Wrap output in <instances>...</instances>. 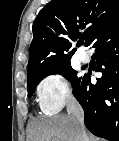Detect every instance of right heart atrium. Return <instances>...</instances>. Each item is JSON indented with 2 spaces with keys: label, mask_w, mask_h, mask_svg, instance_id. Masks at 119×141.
Masks as SVG:
<instances>
[{
  "label": "right heart atrium",
  "mask_w": 119,
  "mask_h": 141,
  "mask_svg": "<svg viewBox=\"0 0 119 141\" xmlns=\"http://www.w3.org/2000/svg\"><path fill=\"white\" fill-rule=\"evenodd\" d=\"M36 90L41 109L48 113L58 111L73 97L68 79L58 72L45 76Z\"/></svg>",
  "instance_id": "right-heart-atrium-1"
}]
</instances>
